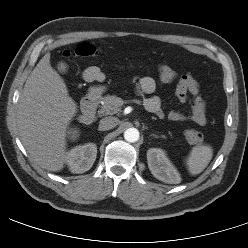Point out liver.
Segmentation results:
<instances>
[{
  "instance_id": "liver-1",
  "label": "liver",
  "mask_w": 248,
  "mask_h": 248,
  "mask_svg": "<svg viewBox=\"0 0 248 248\" xmlns=\"http://www.w3.org/2000/svg\"><path fill=\"white\" fill-rule=\"evenodd\" d=\"M77 113L64 80L44 55L28 76L17 109L21 141L41 168L57 172L67 159V129Z\"/></svg>"
}]
</instances>
